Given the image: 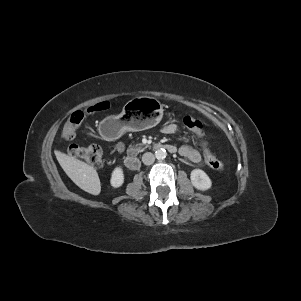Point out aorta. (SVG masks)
Instances as JSON below:
<instances>
[{"mask_svg": "<svg viewBox=\"0 0 301 301\" xmlns=\"http://www.w3.org/2000/svg\"><path fill=\"white\" fill-rule=\"evenodd\" d=\"M167 153H166V150L163 149V148H160V149H157L155 151V157L158 159V160H162L166 157Z\"/></svg>", "mask_w": 301, "mask_h": 301, "instance_id": "aorta-1", "label": "aorta"}]
</instances>
